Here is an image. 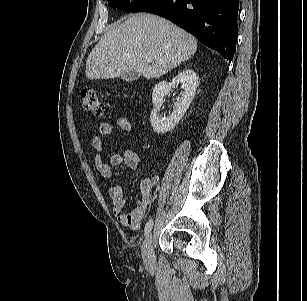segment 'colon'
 Segmentation results:
<instances>
[{"mask_svg":"<svg viewBox=\"0 0 307 301\" xmlns=\"http://www.w3.org/2000/svg\"><path fill=\"white\" fill-rule=\"evenodd\" d=\"M81 106L86 111L95 116L104 115V106L99 95L93 90L83 89L80 92Z\"/></svg>","mask_w":307,"mask_h":301,"instance_id":"1","label":"colon"}]
</instances>
